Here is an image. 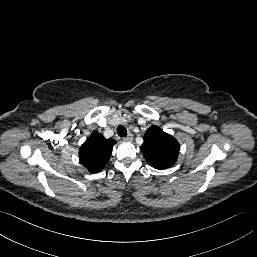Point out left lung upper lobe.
I'll return each instance as SVG.
<instances>
[{
  "mask_svg": "<svg viewBox=\"0 0 257 257\" xmlns=\"http://www.w3.org/2000/svg\"><path fill=\"white\" fill-rule=\"evenodd\" d=\"M179 148V143L173 136L158 126H152L144 135L141 151L153 168L162 170L176 163Z\"/></svg>",
  "mask_w": 257,
  "mask_h": 257,
  "instance_id": "obj_1",
  "label": "left lung upper lobe"
}]
</instances>
